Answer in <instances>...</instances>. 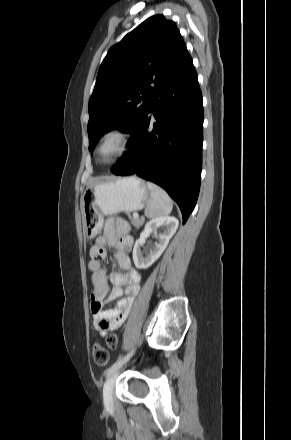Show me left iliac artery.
Returning <instances> with one entry per match:
<instances>
[{"label": "left iliac artery", "instance_id": "obj_1", "mask_svg": "<svg viewBox=\"0 0 291 440\" xmlns=\"http://www.w3.org/2000/svg\"><path fill=\"white\" fill-rule=\"evenodd\" d=\"M134 350H132L130 353H128L123 358L119 359L115 363H113L106 371L105 374L107 377H109L114 371H116L118 368H120L124 363H126L129 358L132 356Z\"/></svg>", "mask_w": 291, "mask_h": 440}]
</instances>
